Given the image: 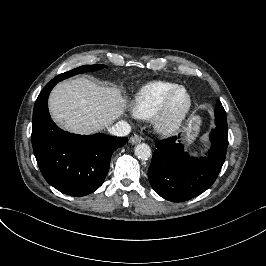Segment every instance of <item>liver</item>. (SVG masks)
<instances>
[{
  "label": "liver",
  "mask_w": 266,
  "mask_h": 266,
  "mask_svg": "<svg viewBox=\"0 0 266 266\" xmlns=\"http://www.w3.org/2000/svg\"><path fill=\"white\" fill-rule=\"evenodd\" d=\"M122 98L113 88L79 78L58 84L50 95L55 122L73 133L91 134L105 128L120 114Z\"/></svg>",
  "instance_id": "obj_1"
}]
</instances>
